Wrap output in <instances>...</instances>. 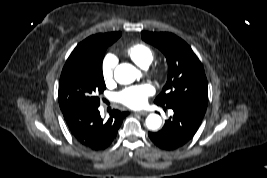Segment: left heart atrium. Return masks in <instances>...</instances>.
<instances>
[{
  "mask_svg": "<svg viewBox=\"0 0 267 178\" xmlns=\"http://www.w3.org/2000/svg\"><path fill=\"white\" fill-rule=\"evenodd\" d=\"M154 94V88L148 83L126 87L116 95V100L129 108L143 107L148 97Z\"/></svg>",
  "mask_w": 267,
  "mask_h": 178,
  "instance_id": "left-heart-atrium-1",
  "label": "left heart atrium"
}]
</instances>
